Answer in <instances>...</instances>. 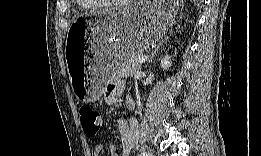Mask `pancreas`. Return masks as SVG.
I'll return each mask as SVG.
<instances>
[{"instance_id": "pancreas-1", "label": "pancreas", "mask_w": 261, "mask_h": 156, "mask_svg": "<svg viewBox=\"0 0 261 156\" xmlns=\"http://www.w3.org/2000/svg\"><path fill=\"white\" fill-rule=\"evenodd\" d=\"M137 55L131 56L124 60L120 66L116 68V73L122 77H128L141 68V63L135 62Z\"/></svg>"}]
</instances>
